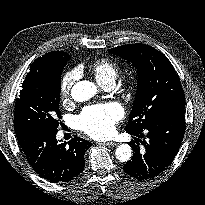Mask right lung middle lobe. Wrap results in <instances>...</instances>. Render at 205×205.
I'll use <instances>...</instances> for the list:
<instances>
[{
    "mask_svg": "<svg viewBox=\"0 0 205 205\" xmlns=\"http://www.w3.org/2000/svg\"><path fill=\"white\" fill-rule=\"evenodd\" d=\"M66 63L27 74L15 104L16 132L28 129L58 130L61 72Z\"/></svg>",
    "mask_w": 205,
    "mask_h": 205,
    "instance_id": "obj_1",
    "label": "right lung middle lobe"
}]
</instances>
